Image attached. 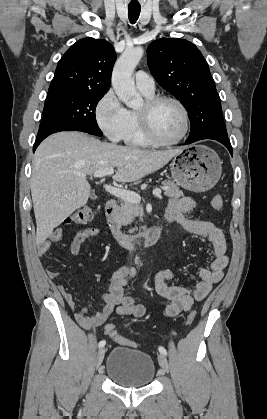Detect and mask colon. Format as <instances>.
<instances>
[{
  "mask_svg": "<svg viewBox=\"0 0 267 419\" xmlns=\"http://www.w3.org/2000/svg\"><path fill=\"white\" fill-rule=\"evenodd\" d=\"M223 204H224L223 199L220 195H215L211 200V205L216 210H221L223 208ZM93 215L94 213L91 208L83 207L73 212L71 216L66 220V223L84 225L92 220ZM195 317H196L195 311L190 312L187 315L186 324L190 325L195 320ZM104 333L108 335L109 337H111L116 343L120 345L131 347V348L137 347V343L120 335L113 324H107L104 327Z\"/></svg>",
  "mask_w": 267,
  "mask_h": 419,
  "instance_id": "obj_1",
  "label": "colon"
}]
</instances>
